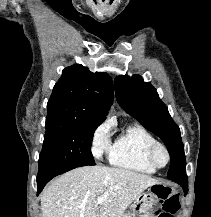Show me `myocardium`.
Returning <instances> with one entry per match:
<instances>
[{"label": "myocardium", "instance_id": "f54148a6", "mask_svg": "<svg viewBox=\"0 0 211 217\" xmlns=\"http://www.w3.org/2000/svg\"><path fill=\"white\" fill-rule=\"evenodd\" d=\"M159 150L163 151L166 156V161L162 165L159 164L156 160V153ZM146 157H147V161L149 162V164L155 169L165 168L169 164L170 159H171V155H170V152L167 146L158 141H156L155 143L151 144L148 147L147 152H146Z\"/></svg>", "mask_w": 211, "mask_h": 217}]
</instances>
